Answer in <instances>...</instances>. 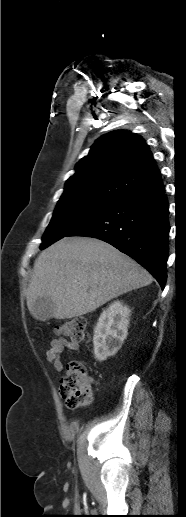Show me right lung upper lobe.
Instances as JSON below:
<instances>
[{
  "mask_svg": "<svg viewBox=\"0 0 186 517\" xmlns=\"http://www.w3.org/2000/svg\"><path fill=\"white\" fill-rule=\"evenodd\" d=\"M159 181L160 172L146 142L136 134L118 130L95 141L89 154L76 164L61 198L96 195L119 199Z\"/></svg>",
  "mask_w": 186,
  "mask_h": 517,
  "instance_id": "cb5924a9",
  "label": "right lung upper lobe"
}]
</instances>
